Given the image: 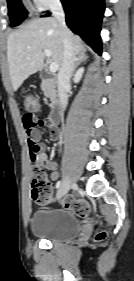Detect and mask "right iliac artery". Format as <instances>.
<instances>
[{
    "instance_id": "obj_1",
    "label": "right iliac artery",
    "mask_w": 134,
    "mask_h": 281,
    "mask_svg": "<svg viewBox=\"0 0 134 281\" xmlns=\"http://www.w3.org/2000/svg\"><path fill=\"white\" fill-rule=\"evenodd\" d=\"M61 183H62L61 181H58L55 188L58 189L61 186Z\"/></svg>"
}]
</instances>
